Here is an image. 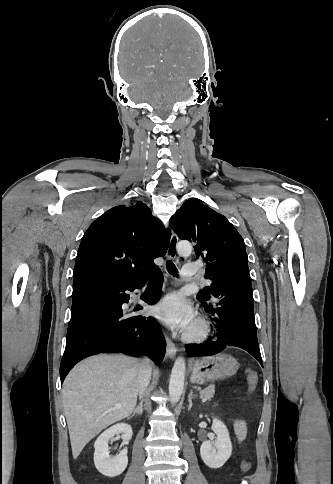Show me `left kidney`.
Instances as JSON below:
<instances>
[{"label":"left kidney","mask_w":333,"mask_h":484,"mask_svg":"<svg viewBox=\"0 0 333 484\" xmlns=\"http://www.w3.org/2000/svg\"><path fill=\"white\" fill-rule=\"evenodd\" d=\"M212 429L217 435L215 441H205L200 447L203 462L210 468L222 467L232 454V443L226 425L217 418L213 419Z\"/></svg>","instance_id":"obj_1"}]
</instances>
